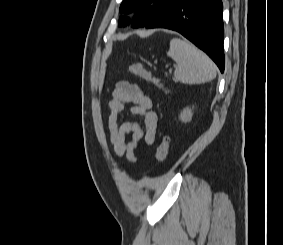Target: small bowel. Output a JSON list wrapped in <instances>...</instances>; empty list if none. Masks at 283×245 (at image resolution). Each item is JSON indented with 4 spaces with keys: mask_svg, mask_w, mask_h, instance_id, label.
I'll return each instance as SVG.
<instances>
[{
    "mask_svg": "<svg viewBox=\"0 0 283 245\" xmlns=\"http://www.w3.org/2000/svg\"><path fill=\"white\" fill-rule=\"evenodd\" d=\"M108 129L114 152L125 157L129 162L136 163V149L141 140L151 145L156 140L158 116L152 109L151 99L136 85L128 81H120L112 92L109 102ZM127 112L142 118L141 122H118V115ZM131 139L126 141V135Z\"/></svg>",
    "mask_w": 283,
    "mask_h": 245,
    "instance_id": "1",
    "label": "small bowel"
}]
</instances>
